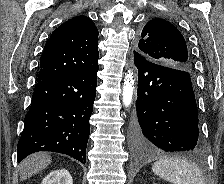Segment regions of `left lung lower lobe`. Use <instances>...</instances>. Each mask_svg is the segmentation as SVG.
I'll use <instances>...</instances> for the list:
<instances>
[{
  "label": "left lung lower lobe",
  "instance_id": "1",
  "mask_svg": "<svg viewBox=\"0 0 224 184\" xmlns=\"http://www.w3.org/2000/svg\"><path fill=\"white\" fill-rule=\"evenodd\" d=\"M134 62L138 69L136 147L141 152H202L190 73L149 62L139 54H134Z\"/></svg>",
  "mask_w": 224,
  "mask_h": 184
}]
</instances>
